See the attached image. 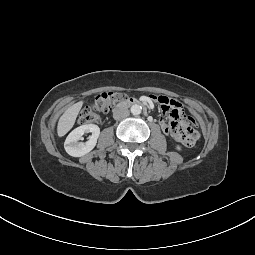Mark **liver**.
<instances>
[{
	"mask_svg": "<svg viewBox=\"0 0 255 255\" xmlns=\"http://www.w3.org/2000/svg\"><path fill=\"white\" fill-rule=\"evenodd\" d=\"M83 101H79L70 106L60 117L57 125V134L59 137L64 136L73 127L79 111L81 110Z\"/></svg>",
	"mask_w": 255,
	"mask_h": 255,
	"instance_id": "obj_1",
	"label": "liver"
}]
</instances>
